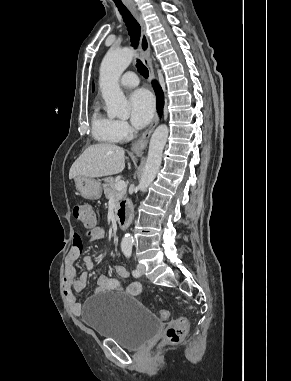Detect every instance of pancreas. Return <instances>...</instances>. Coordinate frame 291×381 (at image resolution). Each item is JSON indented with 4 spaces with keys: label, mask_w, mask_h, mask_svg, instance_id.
<instances>
[{
    "label": "pancreas",
    "mask_w": 291,
    "mask_h": 381,
    "mask_svg": "<svg viewBox=\"0 0 291 381\" xmlns=\"http://www.w3.org/2000/svg\"><path fill=\"white\" fill-rule=\"evenodd\" d=\"M104 184H103V189H104V194L107 199L111 198L114 196L116 205H118V202L122 200L126 194V190H116L115 189V180L112 177H107L104 179Z\"/></svg>",
    "instance_id": "pancreas-1"
}]
</instances>
